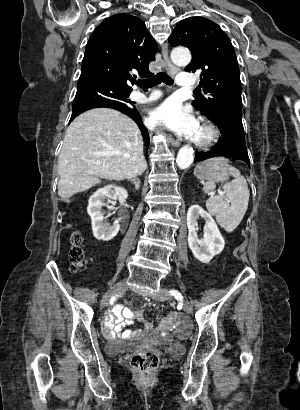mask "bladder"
<instances>
[{
	"mask_svg": "<svg viewBox=\"0 0 300 410\" xmlns=\"http://www.w3.org/2000/svg\"><path fill=\"white\" fill-rule=\"evenodd\" d=\"M133 342H135V340L127 341V342L111 341L106 344L105 348L112 355H118L120 352L124 351L128 347V344L133 343ZM178 348H179L178 344H172L171 346L168 347V349L172 353H176Z\"/></svg>",
	"mask_w": 300,
	"mask_h": 410,
	"instance_id": "obj_1",
	"label": "bladder"
}]
</instances>
